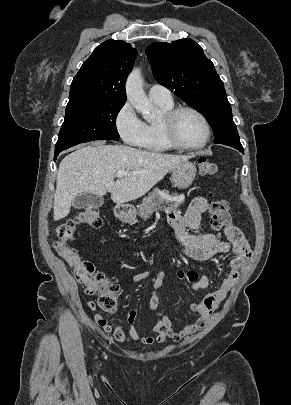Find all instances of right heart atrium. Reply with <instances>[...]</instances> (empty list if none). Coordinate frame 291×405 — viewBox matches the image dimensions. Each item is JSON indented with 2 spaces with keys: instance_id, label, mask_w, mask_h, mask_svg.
Wrapping results in <instances>:
<instances>
[{
  "instance_id": "1",
  "label": "right heart atrium",
  "mask_w": 291,
  "mask_h": 405,
  "mask_svg": "<svg viewBox=\"0 0 291 405\" xmlns=\"http://www.w3.org/2000/svg\"><path fill=\"white\" fill-rule=\"evenodd\" d=\"M115 128L122 141L129 146H140L144 137L145 123L136 114L129 102L124 103L116 113Z\"/></svg>"
}]
</instances>
